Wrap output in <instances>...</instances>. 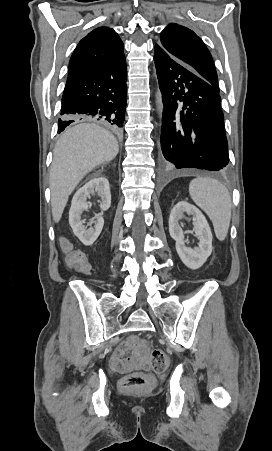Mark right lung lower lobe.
<instances>
[{
	"label": "right lung lower lobe",
	"mask_w": 272,
	"mask_h": 451,
	"mask_svg": "<svg viewBox=\"0 0 272 451\" xmlns=\"http://www.w3.org/2000/svg\"><path fill=\"white\" fill-rule=\"evenodd\" d=\"M126 60L117 59L68 75L62 96L58 131L81 120L100 121L115 132L124 126Z\"/></svg>",
	"instance_id": "98d812e1"
}]
</instances>
